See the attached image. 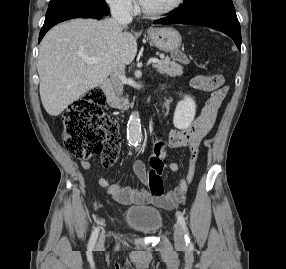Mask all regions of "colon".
Instances as JSON below:
<instances>
[{
  "label": "colon",
  "mask_w": 286,
  "mask_h": 269,
  "mask_svg": "<svg viewBox=\"0 0 286 269\" xmlns=\"http://www.w3.org/2000/svg\"><path fill=\"white\" fill-rule=\"evenodd\" d=\"M175 62H182L183 66H190L194 57H188L189 49H171ZM220 74L198 75L192 78L190 88L206 91L201 110H222L224 100H227L228 88ZM104 97L102 93L93 89L75 100L63 113V135L66 150L80 160H88L94 155H101L104 167L115 164L120 147L121 137L117 121L105 115L102 111ZM148 168V187L152 195L162 196L164 186L162 174L167 163L163 161L169 157L167 143L163 139L150 142Z\"/></svg>",
  "instance_id": "colon-1"
}]
</instances>
